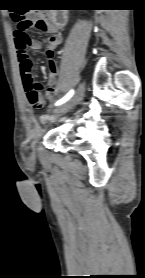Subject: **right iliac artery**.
I'll return each mask as SVG.
<instances>
[{
  "mask_svg": "<svg viewBox=\"0 0 145 278\" xmlns=\"http://www.w3.org/2000/svg\"><path fill=\"white\" fill-rule=\"evenodd\" d=\"M73 94H74V90L72 89L62 99L58 100L55 105L58 106L65 103L73 96Z\"/></svg>",
  "mask_w": 145,
  "mask_h": 278,
  "instance_id": "1",
  "label": "right iliac artery"
}]
</instances>
